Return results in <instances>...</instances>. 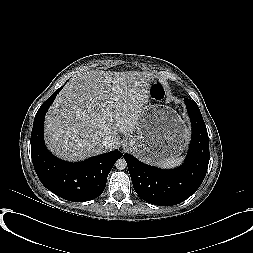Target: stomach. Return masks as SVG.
I'll list each match as a JSON object with an SVG mask.
<instances>
[{
	"label": "stomach",
	"instance_id": "1",
	"mask_svg": "<svg viewBox=\"0 0 253 253\" xmlns=\"http://www.w3.org/2000/svg\"><path fill=\"white\" fill-rule=\"evenodd\" d=\"M189 138V130L177 112L163 104L142 108L136 133L125 140L137 157L149 164H158L178 157Z\"/></svg>",
	"mask_w": 253,
	"mask_h": 253
}]
</instances>
